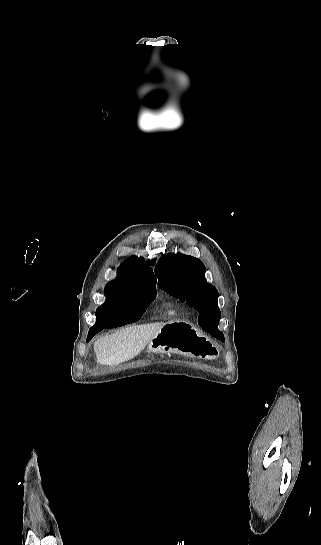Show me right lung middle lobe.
I'll return each instance as SVG.
<instances>
[{"label": "right lung middle lobe", "instance_id": "dd1d6c3e", "mask_svg": "<svg viewBox=\"0 0 321 545\" xmlns=\"http://www.w3.org/2000/svg\"><path fill=\"white\" fill-rule=\"evenodd\" d=\"M155 295H156V289L154 288L129 290L124 288H115V287L106 286L105 288L106 301L103 305H108V304H111L114 302H120V301H137L139 305V310H138L139 313H138L137 319L135 320L136 322L145 313L147 307L152 302ZM96 317H97L96 324L98 326L109 323V322L103 321L101 317H99L98 313L96 314Z\"/></svg>", "mask_w": 321, "mask_h": 545}]
</instances>
